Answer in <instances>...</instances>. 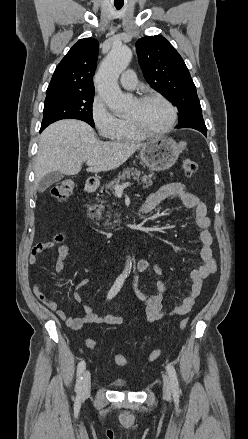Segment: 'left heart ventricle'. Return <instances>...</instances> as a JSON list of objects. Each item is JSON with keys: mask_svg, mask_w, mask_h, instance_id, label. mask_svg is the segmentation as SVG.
<instances>
[{"mask_svg": "<svg viewBox=\"0 0 248 439\" xmlns=\"http://www.w3.org/2000/svg\"><path fill=\"white\" fill-rule=\"evenodd\" d=\"M127 117H137L142 126L150 131L166 128L171 120L168 106L158 99H151L142 104L137 100L133 103Z\"/></svg>", "mask_w": 248, "mask_h": 439, "instance_id": "1", "label": "left heart ventricle"}]
</instances>
